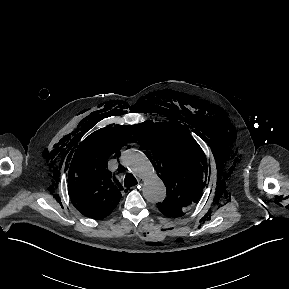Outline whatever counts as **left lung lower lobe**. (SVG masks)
<instances>
[{
  "mask_svg": "<svg viewBox=\"0 0 289 289\" xmlns=\"http://www.w3.org/2000/svg\"><path fill=\"white\" fill-rule=\"evenodd\" d=\"M160 211H161V213H163L167 217H179V216H182L181 214L173 213V212L166 211V210H160Z\"/></svg>",
  "mask_w": 289,
  "mask_h": 289,
  "instance_id": "0a47b994",
  "label": "left lung lower lobe"
}]
</instances>
